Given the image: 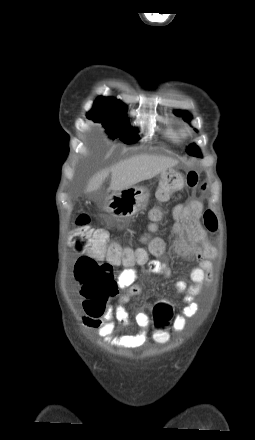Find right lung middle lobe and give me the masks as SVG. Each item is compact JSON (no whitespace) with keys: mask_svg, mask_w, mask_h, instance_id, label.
<instances>
[{"mask_svg":"<svg viewBox=\"0 0 255 440\" xmlns=\"http://www.w3.org/2000/svg\"><path fill=\"white\" fill-rule=\"evenodd\" d=\"M87 118L95 122L102 123L109 138H119L125 143L130 144L138 140L136 128L130 126L127 117L126 107H107L94 103L93 109L87 114Z\"/></svg>","mask_w":255,"mask_h":440,"instance_id":"obj_1","label":"right lung middle lobe"}]
</instances>
